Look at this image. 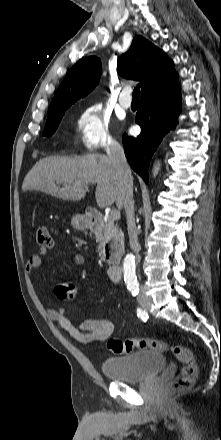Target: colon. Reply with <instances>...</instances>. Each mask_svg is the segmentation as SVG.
I'll return each instance as SVG.
<instances>
[{"mask_svg": "<svg viewBox=\"0 0 221 440\" xmlns=\"http://www.w3.org/2000/svg\"><path fill=\"white\" fill-rule=\"evenodd\" d=\"M36 242L44 249L52 247V238L45 226H38L36 228ZM57 296L65 301H70L75 298L76 288L72 282H62L56 288ZM78 311L76 308L73 310ZM81 318L87 315L84 309L78 312ZM108 348L111 352L117 355L128 354L135 350L152 349L158 352H170L174 357L183 363L180 374L172 380L166 387L169 393L186 390L191 388L197 377V366L195 363V356L193 352L180 344H170L164 341L146 339V338H129V339H109Z\"/></svg>", "mask_w": 221, "mask_h": 440, "instance_id": "obj_1", "label": "colon"}]
</instances>
